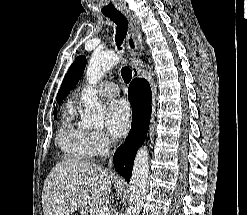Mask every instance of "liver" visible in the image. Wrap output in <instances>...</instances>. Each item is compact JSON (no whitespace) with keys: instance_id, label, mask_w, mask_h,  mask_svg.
Returning a JSON list of instances; mask_svg holds the SVG:
<instances>
[{"instance_id":"obj_1","label":"liver","mask_w":247,"mask_h":215,"mask_svg":"<svg viewBox=\"0 0 247 215\" xmlns=\"http://www.w3.org/2000/svg\"><path fill=\"white\" fill-rule=\"evenodd\" d=\"M113 175L87 162L57 163L43 186L44 215H70L87 204L101 206L109 198Z\"/></svg>"}]
</instances>
